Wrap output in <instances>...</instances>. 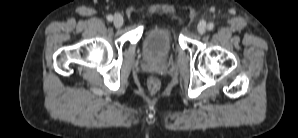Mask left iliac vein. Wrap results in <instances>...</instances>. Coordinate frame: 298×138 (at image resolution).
<instances>
[{"mask_svg":"<svg viewBox=\"0 0 298 138\" xmlns=\"http://www.w3.org/2000/svg\"><path fill=\"white\" fill-rule=\"evenodd\" d=\"M207 29V25L205 21H200L198 26H197V30L200 34H204L206 32Z\"/></svg>","mask_w":298,"mask_h":138,"instance_id":"1","label":"left iliac vein"}]
</instances>
